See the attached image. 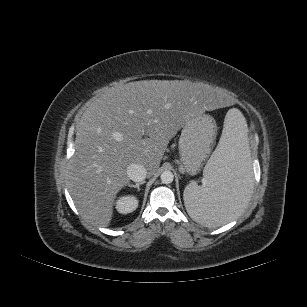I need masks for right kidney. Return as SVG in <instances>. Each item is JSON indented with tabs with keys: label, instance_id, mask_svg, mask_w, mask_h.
I'll return each instance as SVG.
<instances>
[{
	"label": "right kidney",
	"instance_id": "right-kidney-1",
	"mask_svg": "<svg viewBox=\"0 0 307 307\" xmlns=\"http://www.w3.org/2000/svg\"><path fill=\"white\" fill-rule=\"evenodd\" d=\"M138 199L133 195L120 197L116 202V209L121 214H128L136 210Z\"/></svg>",
	"mask_w": 307,
	"mask_h": 307
}]
</instances>
